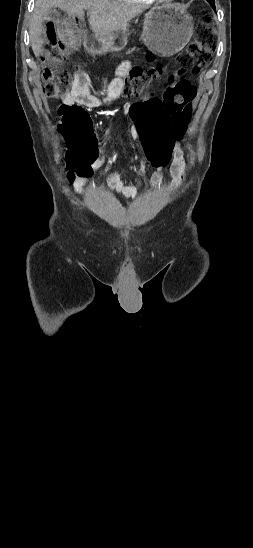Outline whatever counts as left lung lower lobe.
<instances>
[{
  "label": "left lung lower lobe",
  "instance_id": "obj_1",
  "mask_svg": "<svg viewBox=\"0 0 253 548\" xmlns=\"http://www.w3.org/2000/svg\"><path fill=\"white\" fill-rule=\"evenodd\" d=\"M209 4L212 6L213 9H215V2L214 0H207Z\"/></svg>",
  "mask_w": 253,
  "mask_h": 548
}]
</instances>
